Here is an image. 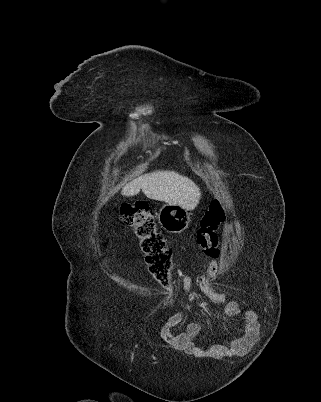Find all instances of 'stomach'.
<instances>
[{"label":"stomach","mask_w":321,"mask_h":402,"mask_svg":"<svg viewBox=\"0 0 321 402\" xmlns=\"http://www.w3.org/2000/svg\"><path fill=\"white\" fill-rule=\"evenodd\" d=\"M159 224L169 233L178 234L188 227L187 210L176 204H164L158 214Z\"/></svg>","instance_id":"stomach-1"}]
</instances>
